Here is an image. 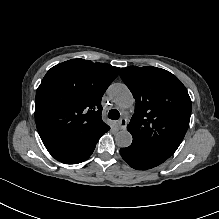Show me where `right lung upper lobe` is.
I'll use <instances>...</instances> for the list:
<instances>
[{
	"label": "right lung upper lobe",
	"instance_id": "obj_1",
	"mask_svg": "<svg viewBox=\"0 0 219 219\" xmlns=\"http://www.w3.org/2000/svg\"><path fill=\"white\" fill-rule=\"evenodd\" d=\"M119 68L72 59L52 67L36 92L35 121L45 147L87 144L108 125L101 99Z\"/></svg>",
	"mask_w": 219,
	"mask_h": 219
}]
</instances>
